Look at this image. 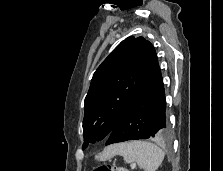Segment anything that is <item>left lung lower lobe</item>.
<instances>
[{
    "mask_svg": "<svg viewBox=\"0 0 223 171\" xmlns=\"http://www.w3.org/2000/svg\"><path fill=\"white\" fill-rule=\"evenodd\" d=\"M169 136L164 85L157 62L113 128L106 145L138 139L166 140Z\"/></svg>",
    "mask_w": 223,
    "mask_h": 171,
    "instance_id": "left-lung-lower-lobe-1",
    "label": "left lung lower lobe"
}]
</instances>
